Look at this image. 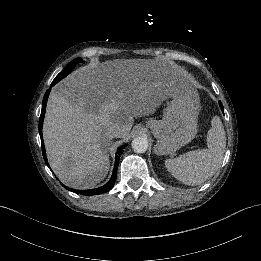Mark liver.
Segmentation results:
<instances>
[{
	"mask_svg": "<svg viewBox=\"0 0 261 261\" xmlns=\"http://www.w3.org/2000/svg\"><path fill=\"white\" fill-rule=\"evenodd\" d=\"M189 82L180 70L168 75L139 63L74 71L47 104L43 136L52 169L74 188L95 187L109 171L108 128L117 124L126 138L134 118L156 113Z\"/></svg>",
	"mask_w": 261,
	"mask_h": 261,
	"instance_id": "1",
	"label": "liver"
}]
</instances>
